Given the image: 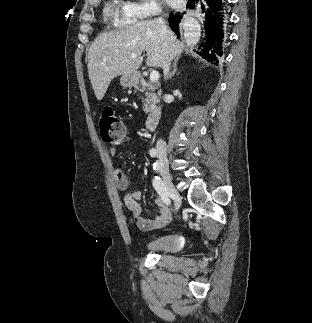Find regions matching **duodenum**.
I'll list each match as a JSON object with an SVG mask.
<instances>
[{
    "label": "duodenum",
    "instance_id": "410a0bca",
    "mask_svg": "<svg viewBox=\"0 0 312 323\" xmlns=\"http://www.w3.org/2000/svg\"><path fill=\"white\" fill-rule=\"evenodd\" d=\"M130 81L134 87L139 89H143L147 85L146 79L140 73L132 74ZM152 104H153L152 112L149 114V116L146 118V121H145V127L147 131H152L158 125L162 114V108L159 103L158 93L153 96Z\"/></svg>",
    "mask_w": 312,
    "mask_h": 323
}]
</instances>
